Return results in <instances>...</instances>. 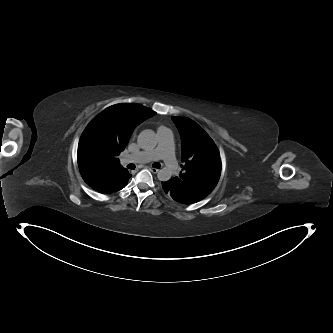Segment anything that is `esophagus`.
<instances>
[{
  "mask_svg": "<svg viewBox=\"0 0 333 333\" xmlns=\"http://www.w3.org/2000/svg\"><path fill=\"white\" fill-rule=\"evenodd\" d=\"M149 170H150L152 173H154V174H156V173L159 172V169L154 168V167H149Z\"/></svg>",
  "mask_w": 333,
  "mask_h": 333,
  "instance_id": "esophagus-1",
  "label": "esophagus"
}]
</instances>
